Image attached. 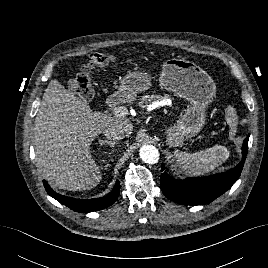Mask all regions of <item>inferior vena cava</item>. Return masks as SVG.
<instances>
[{
    "mask_svg": "<svg viewBox=\"0 0 268 268\" xmlns=\"http://www.w3.org/2000/svg\"><path fill=\"white\" fill-rule=\"evenodd\" d=\"M103 134L109 140H120L124 138L126 130L121 125H112L108 126Z\"/></svg>",
    "mask_w": 268,
    "mask_h": 268,
    "instance_id": "1",
    "label": "inferior vena cava"
}]
</instances>
